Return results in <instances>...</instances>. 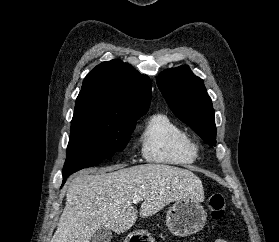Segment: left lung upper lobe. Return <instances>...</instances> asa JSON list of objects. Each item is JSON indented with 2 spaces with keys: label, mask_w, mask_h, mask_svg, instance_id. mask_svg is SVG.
<instances>
[{
  "label": "left lung upper lobe",
  "mask_w": 279,
  "mask_h": 242,
  "mask_svg": "<svg viewBox=\"0 0 279 242\" xmlns=\"http://www.w3.org/2000/svg\"><path fill=\"white\" fill-rule=\"evenodd\" d=\"M157 85L172 112L210 145H216L212 102L203 80L187 65L160 73Z\"/></svg>",
  "instance_id": "5c2ea615"
}]
</instances>
